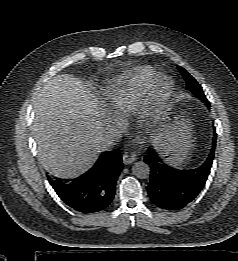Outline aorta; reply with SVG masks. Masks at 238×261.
<instances>
[{"label":"aorta","mask_w":238,"mask_h":261,"mask_svg":"<svg viewBox=\"0 0 238 261\" xmlns=\"http://www.w3.org/2000/svg\"><path fill=\"white\" fill-rule=\"evenodd\" d=\"M132 172L139 179H147L150 176L149 165L144 161H138L134 163Z\"/></svg>","instance_id":"762f6f07"}]
</instances>
